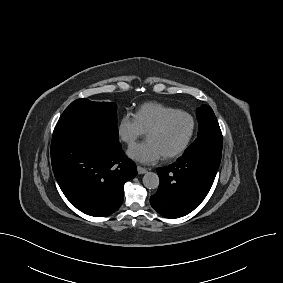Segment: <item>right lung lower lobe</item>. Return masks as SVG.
Masks as SVG:
<instances>
[{"label":"right lung lower lobe","mask_w":283,"mask_h":283,"mask_svg":"<svg viewBox=\"0 0 283 283\" xmlns=\"http://www.w3.org/2000/svg\"><path fill=\"white\" fill-rule=\"evenodd\" d=\"M51 162L69 202L85 214L106 216L123 203V185L137 175L118 142L80 130L54 132Z\"/></svg>","instance_id":"1"}]
</instances>
